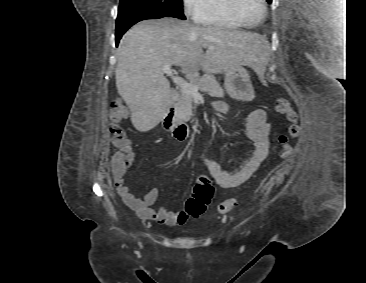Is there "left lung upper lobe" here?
I'll return each instance as SVG.
<instances>
[{
  "label": "left lung upper lobe",
  "mask_w": 366,
  "mask_h": 283,
  "mask_svg": "<svg viewBox=\"0 0 366 283\" xmlns=\"http://www.w3.org/2000/svg\"><path fill=\"white\" fill-rule=\"evenodd\" d=\"M269 4L272 2V0H266Z\"/></svg>",
  "instance_id": "left-lung-upper-lobe-1"
}]
</instances>
